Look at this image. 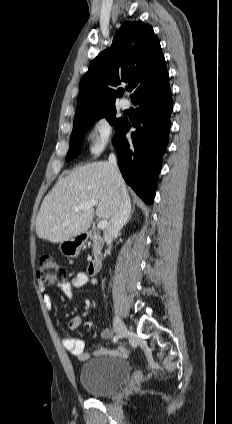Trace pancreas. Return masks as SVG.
Returning a JSON list of instances; mask_svg holds the SVG:
<instances>
[{"mask_svg": "<svg viewBox=\"0 0 232 424\" xmlns=\"http://www.w3.org/2000/svg\"><path fill=\"white\" fill-rule=\"evenodd\" d=\"M92 240H93V253L95 254L97 250L101 247L102 239L99 236V234H95L92 237Z\"/></svg>", "mask_w": 232, "mask_h": 424, "instance_id": "pancreas-1", "label": "pancreas"}]
</instances>
